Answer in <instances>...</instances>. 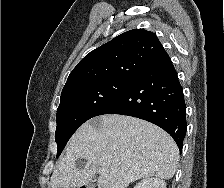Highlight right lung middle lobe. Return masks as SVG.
Wrapping results in <instances>:
<instances>
[{
  "label": "right lung middle lobe",
  "instance_id": "1",
  "mask_svg": "<svg viewBox=\"0 0 224 188\" xmlns=\"http://www.w3.org/2000/svg\"><path fill=\"white\" fill-rule=\"evenodd\" d=\"M131 83L132 79H105L63 89L56 116L57 157L77 128L100 115L128 90Z\"/></svg>",
  "mask_w": 224,
  "mask_h": 188
}]
</instances>
